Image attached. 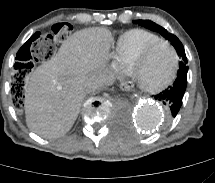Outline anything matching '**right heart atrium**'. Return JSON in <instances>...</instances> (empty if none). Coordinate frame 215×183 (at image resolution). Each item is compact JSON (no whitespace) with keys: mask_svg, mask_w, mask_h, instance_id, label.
I'll use <instances>...</instances> for the list:
<instances>
[{"mask_svg":"<svg viewBox=\"0 0 215 183\" xmlns=\"http://www.w3.org/2000/svg\"><path fill=\"white\" fill-rule=\"evenodd\" d=\"M113 67H114L115 71H117V72H121L122 69H124V67L122 66V64L116 58H115V60L113 62Z\"/></svg>","mask_w":215,"mask_h":183,"instance_id":"right-heart-atrium-1","label":"right heart atrium"}]
</instances>
